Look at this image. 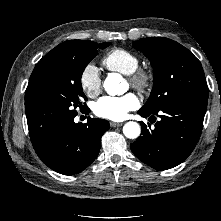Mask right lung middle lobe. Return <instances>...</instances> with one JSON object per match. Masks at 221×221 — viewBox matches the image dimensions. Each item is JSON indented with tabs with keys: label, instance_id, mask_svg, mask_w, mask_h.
<instances>
[{
	"label": "right lung middle lobe",
	"instance_id": "right-lung-middle-lobe-1",
	"mask_svg": "<svg viewBox=\"0 0 221 221\" xmlns=\"http://www.w3.org/2000/svg\"><path fill=\"white\" fill-rule=\"evenodd\" d=\"M109 45V42L74 40L56 46L35 66L25 98L56 102L71 109L82 108V100H87L82 91V73L98 54L97 49Z\"/></svg>",
	"mask_w": 221,
	"mask_h": 221
}]
</instances>
